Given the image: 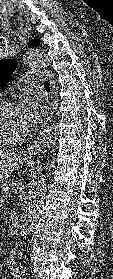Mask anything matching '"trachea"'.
<instances>
[{
	"instance_id": "obj_1",
	"label": "trachea",
	"mask_w": 113,
	"mask_h": 279,
	"mask_svg": "<svg viewBox=\"0 0 113 279\" xmlns=\"http://www.w3.org/2000/svg\"><path fill=\"white\" fill-rule=\"evenodd\" d=\"M44 86H45V88L49 89V83L47 81L45 82Z\"/></svg>"
}]
</instances>
